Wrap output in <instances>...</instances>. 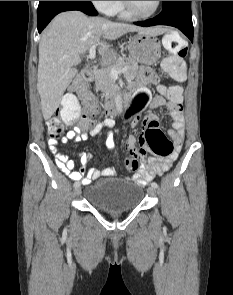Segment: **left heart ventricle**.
<instances>
[{"mask_svg": "<svg viewBox=\"0 0 233 295\" xmlns=\"http://www.w3.org/2000/svg\"><path fill=\"white\" fill-rule=\"evenodd\" d=\"M131 4L137 13L146 15L154 10L156 1H131Z\"/></svg>", "mask_w": 233, "mask_h": 295, "instance_id": "left-heart-ventricle-1", "label": "left heart ventricle"}]
</instances>
